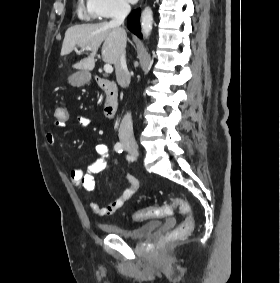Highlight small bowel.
Wrapping results in <instances>:
<instances>
[{
    "label": "small bowel",
    "instance_id": "1",
    "mask_svg": "<svg viewBox=\"0 0 280 283\" xmlns=\"http://www.w3.org/2000/svg\"><path fill=\"white\" fill-rule=\"evenodd\" d=\"M77 122L79 126L86 127L89 125L90 120L84 115H78ZM65 125L66 122H55L56 128H64ZM45 140L48 145L54 146L56 144V133L52 130L48 131L45 135ZM95 151L98 157L95 161L89 164L86 169L73 168L69 172L71 182L86 193L92 192L95 187L94 175L117 165L109 159V151L106 144H97L95 146ZM126 180L128 186L120 197L116 198L106 206H101L96 201H90V209L100 217H107L123 207V205L133 197L139 188V182L133 175H127Z\"/></svg>",
    "mask_w": 280,
    "mask_h": 283
}]
</instances>
